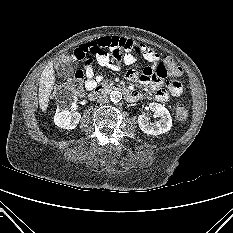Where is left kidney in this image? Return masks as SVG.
I'll return each mask as SVG.
<instances>
[{
	"mask_svg": "<svg viewBox=\"0 0 233 233\" xmlns=\"http://www.w3.org/2000/svg\"><path fill=\"white\" fill-rule=\"evenodd\" d=\"M149 108L160 119L152 123L147 116L139 115L138 124L141 131L154 136L168 132L172 127V118L167 108L154 102L149 104Z\"/></svg>",
	"mask_w": 233,
	"mask_h": 233,
	"instance_id": "obj_1",
	"label": "left kidney"
}]
</instances>
